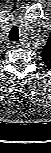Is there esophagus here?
Here are the masks:
<instances>
[{"label":"esophagus","mask_w":51,"mask_h":153,"mask_svg":"<svg viewBox=\"0 0 51 153\" xmlns=\"http://www.w3.org/2000/svg\"><path fill=\"white\" fill-rule=\"evenodd\" d=\"M13 46L15 47V46H19V45H18V43L13 42Z\"/></svg>","instance_id":"esophagus-1"}]
</instances>
